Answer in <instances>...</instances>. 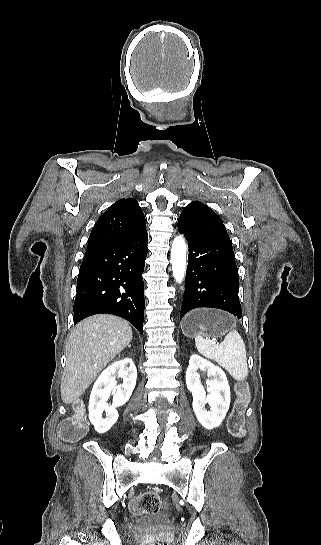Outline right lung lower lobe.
<instances>
[{
    "instance_id": "98d812e1",
    "label": "right lung lower lobe",
    "mask_w": 321,
    "mask_h": 545,
    "mask_svg": "<svg viewBox=\"0 0 321 545\" xmlns=\"http://www.w3.org/2000/svg\"><path fill=\"white\" fill-rule=\"evenodd\" d=\"M146 227L117 242L86 250L77 279L74 324L99 313L120 316L143 334Z\"/></svg>"
}]
</instances>
